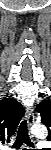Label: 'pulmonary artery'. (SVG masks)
Wrapping results in <instances>:
<instances>
[{
  "label": "pulmonary artery",
  "instance_id": "pulmonary-artery-1",
  "mask_svg": "<svg viewBox=\"0 0 51 150\" xmlns=\"http://www.w3.org/2000/svg\"><path fill=\"white\" fill-rule=\"evenodd\" d=\"M48 145H49L48 142H40L38 144L39 147H44V146H48Z\"/></svg>",
  "mask_w": 51,
  "mask_h": 150
}]
</instances>
